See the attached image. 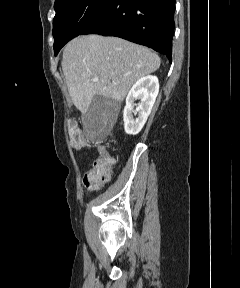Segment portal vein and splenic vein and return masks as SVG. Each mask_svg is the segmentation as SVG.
<instances>
[{
    "instance_id": "portal-vein-and-splenic-vein-1",
    "label": "portal vein and splenic vein",
    "mask_w": 240,
    "mask_h": 288,
    "mask_svg": "<svg viewBox=\"0 0 240 288\" xmlns=\"http://www.w3.org/2000/svg\"><path fill=\"white\" fill-rule=\"evenodd\" d=\"M92 80H93L94 82H96V81L99 80V78H98V77H94Z\"/></svg>"
}]
</instances>
